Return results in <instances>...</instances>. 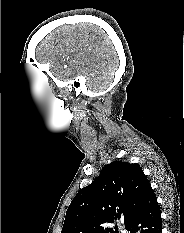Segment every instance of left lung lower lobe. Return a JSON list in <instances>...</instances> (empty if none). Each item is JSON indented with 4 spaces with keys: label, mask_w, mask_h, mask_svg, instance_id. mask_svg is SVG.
<instances>
[{
    "label": "left lung lower lobe",
    "mask_w": 184,
    "mask_h": 233,
    "mask_svg": "<svg viewBox=\"0 0 184 233\" xmlns=\"http://www.w3.org/2000/svg\"><path fill=\"white\" fill-rule=\"evenodd\" d=\"M127 230L130 233H162L161 211L153 190L145 197Z\"/></svg>",
    "instance_id": "left-lung-lower-lobe-1"
}]
</instances>
